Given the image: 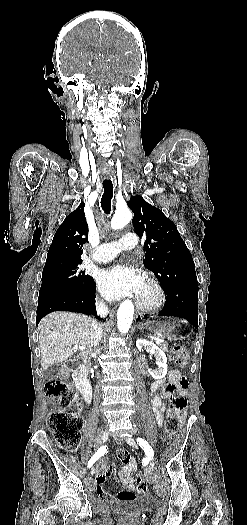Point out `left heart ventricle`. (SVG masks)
Wrapping results in <instances>:
<instances>
[{"mask_svg": "<svg viewBox=\"0 0 247 525\" xmlns=\"http://www.w3.org/2000/svg\"><path fill=\"white\" fill-rule=\"evenodd\" d=\"M136 259L130 252H125L121 255L120 267L122 270H130L135 268ZM141 292L138 295L143 300H154L157 297V291L150 280L141 279Z\"/></svg>", "mask_w": 247, "mask_h": 525, "instance_id": "left-heart-ventricle-1", "label": "left heart ventricle"}]
</instances>
